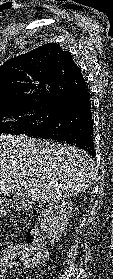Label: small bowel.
Masks as SVG:
<instances>
[{
    "label": "small bowel",
    "instance_id": "obj_1",
    "mask_svg": "<svg viewBox=\"0 0 113 279\" xmlns=\"http://www.w3.org/2000/svg\"><path fill=\"white\" fill-rule=\"evenodd\" d=\"M9 266L14 267V266H17V264L10 262ZM0 279H2L1 274H0Z\"/></svg>",
    "mask_w": 113,
    "mask_h": 279
}]
</instances>
